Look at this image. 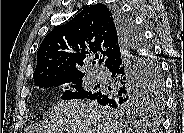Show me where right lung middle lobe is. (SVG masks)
<instances>
[{
	"instance_id": "dd1d6c3e",
	"label": "right lung middle lobe",
	"mask_w": 184,
	"mask_h": 133,
	"mask_svg": "<svg viewBox=\"0 0 184 133\" xmlns=\"http://www.w3.org/2000/svg\"><path fill=\"white\" fill-rule=\"evenodd\" d=\"M128 18V17H127ZM131 22L132 20L128 18ZM133 29L136 33L137 38L143 41L145 52L147 54V67L145 71V79L139 85L138 92H132L128 95H123L115 99L109 106L111 112L114 113H128L142 110L146 107H157L161 108L163 105V78L161 75V69L156 61L152 50L145 42L141 31L133 24ZM83 76H54L40 79L35 83V86L40 88L57 87L64 83L72 82L73 86L77 91L72 92L70 90L65 91L62 95V99H79L85 98L98 90L96 89H84L82 84ZM68 89V87H67Z\"/></svg>"
}]
</instances>
